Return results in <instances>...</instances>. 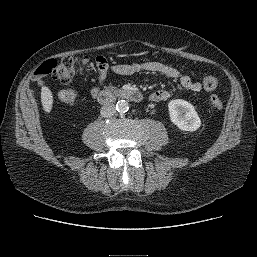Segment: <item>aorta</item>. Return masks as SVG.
Segmentation results:
<instances>
[{
  "mask_svg": "<svg viewBox=\"0 0 257 257\" xmlns=\"http://www.w3.org/2000/svg\"><path fill=\"white\" fill-rule=\"evenodd\" d=\"M116 110L119 113H125L129 110V103L126 100H119L116 104Z\"/></svg>",
  "mask_w": 257,
  "mask_h": 257,
  "instance_id": "aorta-1",
  "label": "aorta"
}]
</instances>
